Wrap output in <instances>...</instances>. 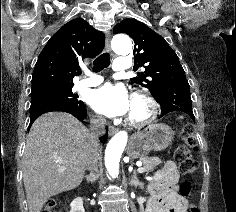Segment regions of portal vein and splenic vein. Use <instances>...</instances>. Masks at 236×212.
Returning <instances> with one entry per match:
<instances>
[{
    "instance_id": "portal-vein-and-splenic-vein-1",
    "label": "portal vein and splenic vein",
    "mask_w": 236,
    "mask_h": 212,
    "mask_svg": "<svg viewBox=\"0 0 236 212\" xmlns=\"http://www.w3.org/2000/svg\"><path fill=\"white\" fill-rule=\"evenodd\" d=\"M137 166H138L137 171H138L139 173H142V172H143V170H142V163H137ZM65 169H66L65 167H61V168L59 169V171H64Z\"/></svg>"
}]
</instances>
